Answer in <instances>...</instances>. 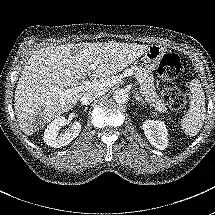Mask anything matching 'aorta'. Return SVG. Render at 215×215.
I'll return each instance as SVG.
<instances>
[{"instance_id": "762f6f07", "label": "aorta", "mask_w": 215, "mask_h": 215, "mask_svg": "<svg viewBox=\"0 0 215 215\" xmlns=\"http://www.w3.org/2000/svg\"><path fill=\"white\" fill-rule=\"evenodd\" d=\"M113 99L118 104L126 103L129 99V93L125 89H117L114 91Z\"/></svg>"}]
</instances>
